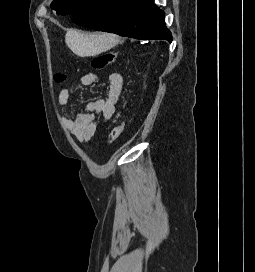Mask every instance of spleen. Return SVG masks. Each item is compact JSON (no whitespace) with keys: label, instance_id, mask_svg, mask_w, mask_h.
Listing matches in <instances>:
<instances>
[{"label":"spleen","instance_id":"obj_1","mask_svg":"<svg viewBox=\"0 0 255 272\" xmlns=\"http://www.w3.org/2000/svg\"><path fill=\"white\" fill-rule=\"evenodd\" d=\"M68 47L78 56H94L115 46L118 37L111 34H88L69 30L65 36Z\"/></svg>","mask_w":255,"mask_h":272}]
</instances>
